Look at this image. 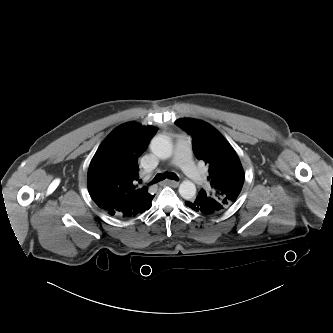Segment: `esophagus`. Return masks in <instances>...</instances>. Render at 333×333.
Masks as SVG:
<instances>
[{
	"label": "esophagus",
	"instance_id": "34e87169",
	"mask_svg": "<svg viewBox=\"0 0 333 333\" xmlns=\"http://www.w3.org/2000/svg\"><path fill=\"white\" fill-rule=\"evenodd\" d=\"M169 185L172 187H177L179 185V182L174 181V180H165L164 182H162V185Z\"/></svg>",
	"mask_w": 333,
	"mask_h": 333
}]
</instances>
